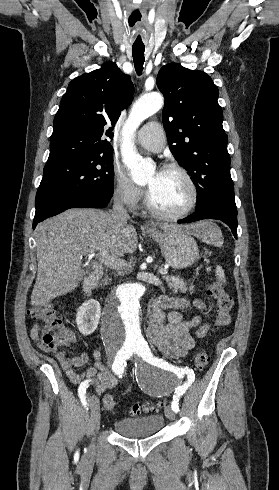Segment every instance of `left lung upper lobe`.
I'll use <instances>...</instances> for the list:
<instances>
[{
  "label": "left lung upper lobe",
  "instance_id": "5c2ea615",
  "mask_svg": "<svg viewBox=\"0 0 279 490\" xmlns=\"http://www.w3.org/2000/svg\"><path fill=\"white\" fill-rule=\"evenodd\" d=\"M157 85L170 150L196 185V210L215 203L237 211L217 86L206 73L177 63L161 68Z\"/></svg>",
  "mask_w": 279,
  "mask_h": 490
}]
</instances>
